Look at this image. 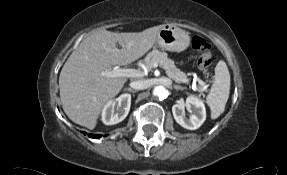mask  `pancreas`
<instances>
[{
  "label": "pancreas",
  "instance_id": "obj_1",
  "mask_svg": "<svg viewBox=\"0 0 287 175\" xmlns=\"http://www.w3.org/2000/svg\"><path fill=\"white\" fill-rule=\"evenodd\" d=\"M157 63L162 67L169 78L173 79L177 83H187L186 75L180 69H178L174 61L169 59L167 53L159 51L157 49L152 50L144 59V64L150 70L153 64ZM199 91L204 90V86L198 88Z\"/></svg>",
  "mask_w": 287,
  "mask_h": 175
}]
</instances>
